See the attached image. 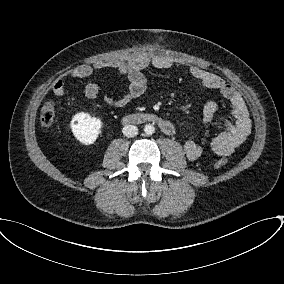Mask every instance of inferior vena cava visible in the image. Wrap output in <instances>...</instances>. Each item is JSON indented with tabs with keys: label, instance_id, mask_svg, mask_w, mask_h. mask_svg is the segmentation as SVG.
<instances>
[{
	"label": "inferior vena cava",
	"instance_id": "inferior-vena-cava-1",
	"mask_svg": "<svg viewBox=\"0 0 284 284\" xmlns=\"http://www.w3.org/2000/svg\"><path fill=\"white\" fill-rule=\"evenodd\" d=\"M122 132L126 137H134L138 134V128L134 125H126L123 127Z\"/></svg>",
	"mask_w": 284,
	"mask_h": 284
}]
</instances>
